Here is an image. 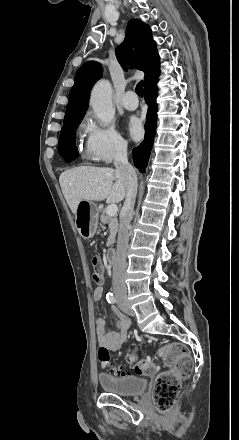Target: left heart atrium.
<instances>
[{
  "label": "left heart atrium",
  "mask_w": 239,
  "mask_h": 440,
  "mask_svg": "<svg viewBox=\"0 0 239 440\" xmlns=\"http://www.w3.org/2000/svg\"><path fill=\"white\" fill-rule=\"evenodd\" d=\"M126 127L130 136L134 139H138L142 134V125L136 117H130L126 121Z\"/></svg>",
  "instance_id": "1"
}]
</instances>
